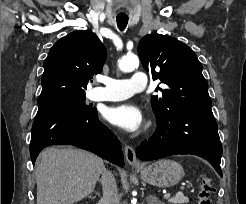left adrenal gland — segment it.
Returning <instances> with one entry per match:
<instances>
[{
    "label": "left adrenal gland",
    "instance_id": "a2214340",
    "mask_svg": "<svg viewBox=\"0 0 246 204\" xmlns=\"http://www.w3.org/2000/svg\"><path fill=\"white\" fill-rule=\"evenodd\" d=\"M148 204H164V203H162L156 197L153 196L148 198Z\"/></svg>",
    "mask_w": 246,
    "mask_h": 204
}]
</instances>
